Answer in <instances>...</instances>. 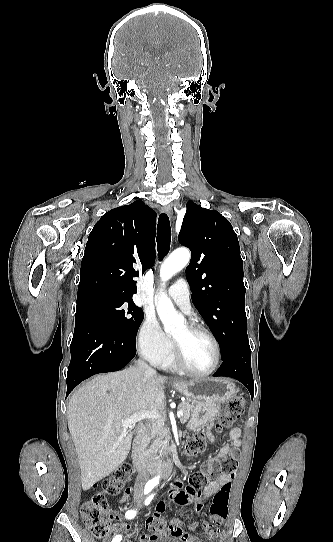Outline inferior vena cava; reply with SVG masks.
<instances>
[{"mask_svg": "<svg viewBox=\"0 0 333 542\" xmlns=\"http://www.w3.org/2000/svg\"><path fill=\"white\" fill-rule=\"evenodd\" d=\"M136 366L137 368H140V370H144L146 376H156L157 374L156 370H153V368H150L148 364H145L144 360H138V362H136ZM147 480H149V472L147 468H141V470H138L134 492H143V488Z\"/></svg>", "mask_w": 333, "mask_h": 542, "instance_id": "1", "label": "inferior vena cava"}]
</instances>
